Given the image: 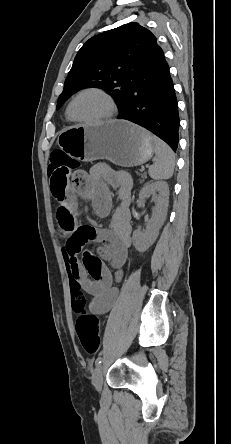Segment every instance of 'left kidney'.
<instances>
[{"label":"left kidney","instance_id":"left-kidney-1","mask_svg":"<svg viewBox=\"0 0 231 444\" xmlns=\"http://www.w3.org/2000/svg\"><path fill=\"white\" fill-rule=\"evenodd\" d=\"M158 193V194H157ZM150 195L155 198V209L147 223L146 230L133 232V245L139 252L146 251L157 239L168 209L169 186L165 181H157L146 184L139 193V199L145 200Z\"/></svg>","mask_w":231,"mask_h":444}]
</instances>
